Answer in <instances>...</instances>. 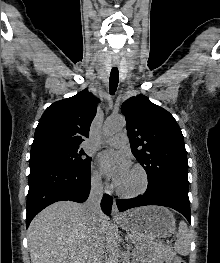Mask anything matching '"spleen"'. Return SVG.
<instances>
[{
    "label": "spleen",
    "instance_id": "3e777b00",
    "mask_svg": "<svg viewBox=\"0 0 220 263\" xmlns=\"http://www.w3.org/2000/svg\"><path fill=\"white\" fill-rule=\"evenodd\" d=\"M174 250L178 254L187 255L190 250V233L184 221L179 223L178 238L174 244Z\"/></svg>",
    "mask_w": 220,
    "mask_h": 263
}]
</instances>
